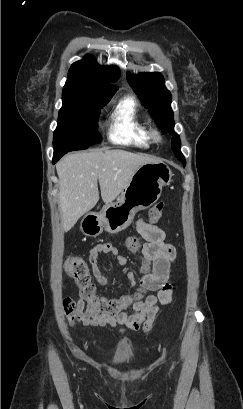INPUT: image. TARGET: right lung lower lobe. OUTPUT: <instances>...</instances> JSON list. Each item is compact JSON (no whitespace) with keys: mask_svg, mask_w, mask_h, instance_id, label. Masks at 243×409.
<instances>
[{"mask_svg":"<svg viewBox=\"0 0 243 409\" xmlns=\"http://www.w3.org/2000/svg\"><path fill=\"white\" fill-rule=\"evenodd\" d=\"M63 155H64V153H56V154H54L53 164L56 163Z\"/></svg>","mask_w":243,"mask_h":409,"instance_id":"obj_1","label":"right lung lower lobe"}]
</instances>
